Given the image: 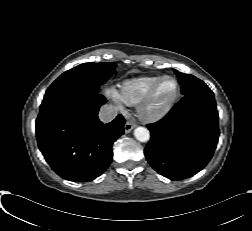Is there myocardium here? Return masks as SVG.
Returning a JSON list of instances; mask_svg holds the SVG:
<instances>
[{"mask_svg": "<svg viewBox=\"0 0 252 231\" xmlns=\"http://www.w3.org/2000/svg\"><path fill=\"white\" fill-rule=\"evenodd\" d=\"M170 79L175 84V91L170 100L161 108H154L152 103L154 97L164 80ZM180 96V84L178 80L170 75L161 76L148 90L146 95L137 104V112L139 117L146 122H156L163 119L173 109Z\"/></svg>", "mask_w": 252, "mask_h": 231, "instance_id": "obj_1", "label": "myocardium"}]
</instances>
